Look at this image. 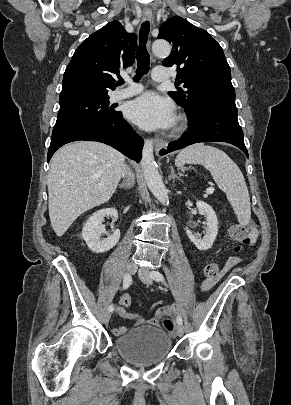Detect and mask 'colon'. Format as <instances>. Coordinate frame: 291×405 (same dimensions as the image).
<instances>
[{
  "mask_svg": "<svg viewBox=\"0 0 291 405\" xmlns=\"http://www.w3.org/2000/svg\"><path fill=\"white\" fill-rule=\"evenodd\" d=\"M229 236L232 240L237 242L234 247L236 253L240 252L243 247L250 243L253 233L252 226L233 224L228 229ZM220 264L218 262H209L203 267V275L207 280H214L219 276ZM120 303L124 307H129L131 304V297L127 294L123 295ZM162 324L164 328L170 332L175 329L174 321L170 317H163Z\"/></svg>",
  "mask_w": 291,
  "mask_h": 405,
  "instance_id": "5ec220e1",
  "label": "colon"
}]
</instances>
